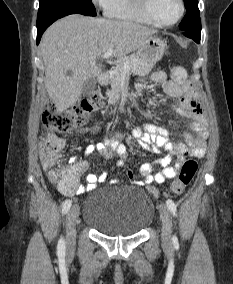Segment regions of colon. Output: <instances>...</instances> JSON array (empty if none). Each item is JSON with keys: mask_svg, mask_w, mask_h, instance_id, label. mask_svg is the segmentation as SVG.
<instances>
[{"mask_svg": "<svg viewBox=\"0 0 233 284\" xmlns=\"http://www.w3.org/2000/svg\"><path fill=\"white\" fill-rule=\"evenodd\" d=\"M171 77L177 83H182L186 78V72L181 66L171 68ZM103 100L99 95L83 99L73 108L59 112L52 102L45 105L42 120L45 132L40 142V159L43 163L55 168L63 146L60 134L67 133L72 129L87 124L91 114L101 108ZM198 170V163L195 160H187L183 163L179 175L171 183V191L174 194H181L193 180ZM79 176L68 173L58 176V187L64 194H74L79 187ZM148 193L154 199L159 197V191L154 186L148 187Z\"/></svg>", "mask_w": 233, "mask_h": 284, "instance_id": "5ec220e1", "label": "colon"}]
</instances>
